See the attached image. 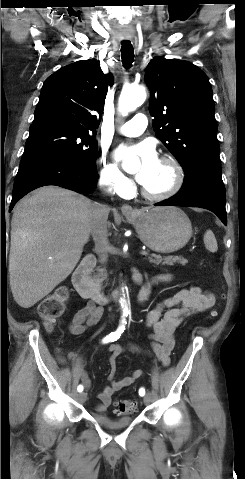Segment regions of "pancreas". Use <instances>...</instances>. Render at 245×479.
Segmentation results:
<instances>
[{"mask_svg": "<svg viewBox=\"0 0 245 479\" xmlns=\"http://www.w3.org/2000/svg\"><path fill=\"white\" fill-rule=\"evenodd\" d=\"M149 262L155 265H174V263H180L181 265H185L188 263V260L181 257V256H165L162 257L160 255H155L153 257H149Z\"/></svg>", "mask_w": 245, "mask_h": 479, "instance_id": "1", "label": "pancreas"}]
</instances>
